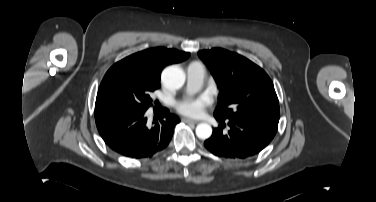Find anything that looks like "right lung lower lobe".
Masks as SVG:
<instances>
[{"label": "right lung lower lobe", "mask_w": 376, "mask_h": 202, "mask_svg": "<svg viewBox=\"0 0 376 202\" xmlns=\"http://www.w3.org/2000/svg\"><path fill=\"white\" fill-rule=\"evenodd\" d=\"M146 111H109L95 115L97 129L114 151L130 158H145L164 149L170 142L179 118L163 109L160 123L147 127Z\"/></svg>", "instance_id": "right-lung-lower-lobe-1"}]
</instances>
